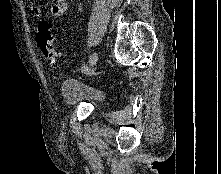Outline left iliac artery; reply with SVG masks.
<instances>
[{
	"label": "left iliac artery",
	"mask_w": 221,
	"mask_h": 174,
	"mask_svg": "<svg viewBox=\"0 0 221 174\" xmlns=\"http://www.w3.org/2000/svg\"><path fill=\"white\" fill-rule=\"evenodd\" d=\"M81 70H82V72H85V73H92L91 69H89L87 67H82Z\"/></svg>",
	"instance_id": "left-iliac-artery-1"
}]
</instances>
